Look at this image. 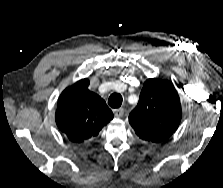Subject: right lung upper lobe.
<instances>
[{"mask_svg":"<svg viewBox=\"0 0 223 188\" xmlns=\"http://www.w3.org/2000/svg\"><path fill=\"white\" fill-rule=\"evenodd\" d=\"M89 80L82 79L67 87L60 95L56 124L71 142L82 143L98 135L113 119L106 102L88 89Z\"/></svg>","mask_w":223,"mask_h":188,"instance_id":"obj_1","label":"right lung upper lobe"}]
</instances>
